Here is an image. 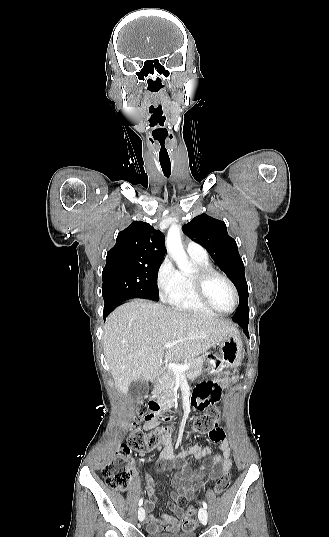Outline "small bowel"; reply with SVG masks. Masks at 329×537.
I'll use <instances>...</instances> for the list:
<instances>
[{
	"label": "small bowel",
	"instance_id": "obj_1",
	"mask_svg": "<svg viewBox=\"0 0 329 537\" xmlns=\"http://www.w3.org/2000/svg\"><path fill=\"white\" fill-rule=\"evenodd\" d=\"M223 386L219 382L215 381L213 377H206L204 381H196L191 394L190 401H187L183 405L185 410L189 411H206L208 406L217 405L219 398L224 399L227 396L226 391L220 390ZM220 390V391H219ZM175 408H179V405H175ZM169 417H163L159 415L157 420L162 422L163 420H169L173 422L175 417L171 413H167ZM146 429H153L156 427V423H146ZM209 439L215 443L220 442L217 447L219 453L212 455L213 449L211 447H200L195 445L187 451H181L175 453L172 444L169 441H165L160 453V460L165 467V463L177 458H184L187 455L194 457L196 460H204L203 467L200 474H196L193 469L185 464H178L179 472L171 478V485L175 489L170 493L172 502L168 503V508L174 515L162 514L161 516L154 515L151 511L155 507V494L157 483L153 480L147 482V494L149 499L145 501V506L150 513L147 515L146 523L149 533H156L162 531L176 532L183 530V525L180 516L183 514V506L186 505L187 500L194 497L199 487L205 485L206 481L214 480L220 473L228 472L232 466V458L230 453V444L225 437L223 430L220 429V433L217 430L212 429L208 433ZM218 466V468H217ZM206 474V480L202 478Z\"/></svg>",
	"mask_w": 329,
	"mask_h": 537
}]
</instances>
